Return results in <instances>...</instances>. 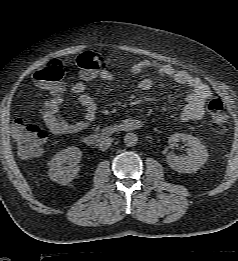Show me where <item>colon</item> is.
I'll list each match as a JSON object with an SVG mask.
<instances>
[{
    "mask_svg": "<svg viewBox=\"0 0 238 261\" xmlns=\"http://www.w3.org/2000/svg\"><path fill=\"white\" fill-rule=\"evenodd\" d=\"M104 66V57L89 51L79 55L75 61V69L84 74H94ZM64 74V65L59 61H52L34 74V80L40 87L52 93H59L63 90ZM207 111L214 131L218 134L224 133L227 129L228 114L223 102L219 99L211 100ZM12 135L18 153L23 158L37 156L47 139V133L42 128L27 124L21 118L14 120Z\"/></svg>",
    "mask_w": 238,
    "mask_h": 261,
    "instance_id": "obj_1",
    "label": "colon"
}]
</instances>
